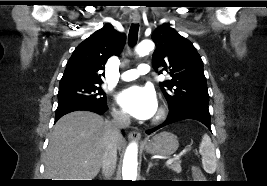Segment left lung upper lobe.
<instances>
[{
	"label": "left lung upper lobe",
	"instance_id": "1",
	"mask_svg": "<svg viewBox=\"0 0 267 186\" xmlns=\"http://www.w3.org/2000/svg\"><path fill=\"white\" fill-rule=\"evenodd\" d=\"M156 49L152 66L170 74L171 79L160 82L169 110L198 106L208 109L209 94L203 61L193 44L179 35L169 24L158 27L152 34Z\"/></svg>",
	"mask_w": 267,
	"mask_h": 186
}]
</instances>
